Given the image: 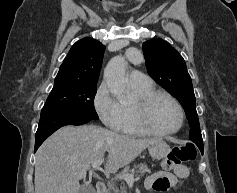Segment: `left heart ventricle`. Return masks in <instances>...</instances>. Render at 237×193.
I'll list each match as a JSON object with an SVG mask.
<instances>
[{
    "label": "left heart ventricle",
    "instance_id": "left-heart-ventricle-1",
    "mask_svg": "<svg viewBox=\"0 0 237 193\" xmlns=\"http://www.w3.org/2000/svg\"><path fill=\"white\" fill-rule=\"evenodd\" d=\"M146 120L153 128L168 131L178 126L180 115L171 100L161 97L152 104Z\"/></svg>",
    "mask_w": 237,
    "mask_h": 193
}]
</instances>
